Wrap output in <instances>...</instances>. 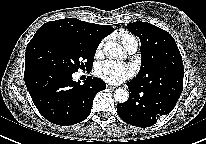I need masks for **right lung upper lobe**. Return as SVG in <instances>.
<instances>
[{
  "instance_id": "cb5924a9",
  "label": "right lung upper lobe",
  "mask_w": 206,
  "mask_h": 144,
  "mask_svg": "<svg viewBox=\"0 0 206 144\" xmlns=\"http://www.w3.org/2000/svg\"><path fill=\"white\" fill-rule=\"evenodd\" d=\"M39 30L60 31L97 44H99L104 37L114 31L109 25L88 23L77 18L50 21L42 25Z\"/></svg>"
}]
</instances>
